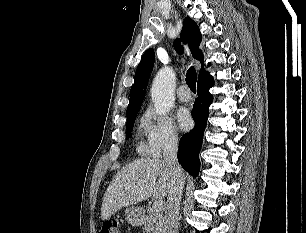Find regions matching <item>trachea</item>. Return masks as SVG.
<instances>
[{
	"label": "trachea",
	"mask_w": 306,
	"mask_h": 233,
	"mask_svg": "<svg viewBox=\"0 0 306 233\" xmlns=\"http://www.w3.org/2000/svg\"><path fill=\"white\" fill-rule=\"evenodd\" d=\"M197 73L194 67H190L186 74V83L192 91H196Z\"/></svg>",
	"instance_id": "trachea-1"
}]
</instances>
